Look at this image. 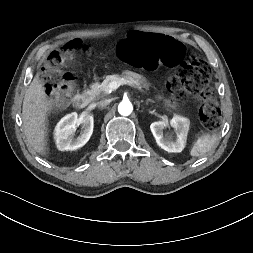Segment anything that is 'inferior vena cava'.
Returning <instances> with one entry per match:
<instances>
[{"label": "inferior vena cava", "instance_id": "1", "mask_svg": "<svg viewBox=\"0 0 253 253\" xmlns=\"http://www.w3.org/2000/svg\"><path fill=\"white\" fill-rule=\"evenodd\" d=\"M109 103H110V100H108V99L101 100V101L98 102V106H99V107H105V106H107Z\"/></svg>", "mask_w": 253, "mask_h": 253}]
</instances>
